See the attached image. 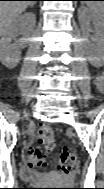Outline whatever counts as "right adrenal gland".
Wrapping results in <instances>:
<instances>
[{"mask_svg": "<svg viewBox=\"0 0 104 189\" xmlns=\"http://www.w3.org/2000/svg\"><path fill=\"white\" fill-rule=\"evenodd\" d=\"M34 4H31L30 6L33 7Z\"/></svg>", "mask_w": 104, "mask_h": 189, "instance_id": "right-adrenal-gland-1", "label": "right adrenal gland"}]
</instances>
